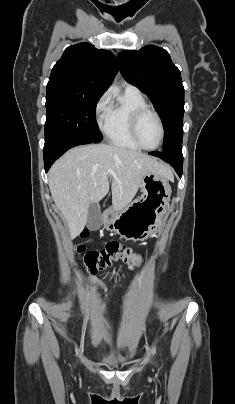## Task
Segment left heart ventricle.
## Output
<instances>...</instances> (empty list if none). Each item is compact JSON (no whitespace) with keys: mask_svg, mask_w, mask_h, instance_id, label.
Masks as SVG:
<instances>
[{"mask_svg":"<svg viewBox=\"0 0 235 404\" xmlns=\"http://www.w3.org/2000/svg\"><path fill=\"white\" fill-rule=\"evenodd\" d=\"M138 137L146 147H154L160 138V128L156 117L146 113L140 120L138 126Z\"/></svg>","mask_w":235,"mask_h":404,"instance_id":"obj_1","label":"left heart ventricle"}]
</instances>
